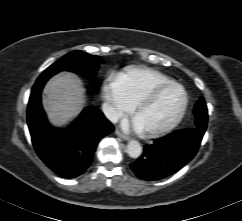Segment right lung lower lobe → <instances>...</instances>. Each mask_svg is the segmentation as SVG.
Returning a JSON list of instances; mask_svg holds the SVG:
<instances>
[{
  "label": "right lung lower lobe",
  "instance_id": "1",
  "mask_svg": "<svg viewBox=\"0 0 242 221\" xmlns=\"http://www.w3.org/2000/svg\"><path fill=\"white\" fill-rule=\"evenodd\" d=\"M41 91H32L27 109L33 146L55 173L75 178L87 170L99 140L113 132L114 127L100 110L87 107L68 128H53L41 105Z\"/></svg>",
  "mask_w": 242,
  "mask_h": 221
}]
</instances>
